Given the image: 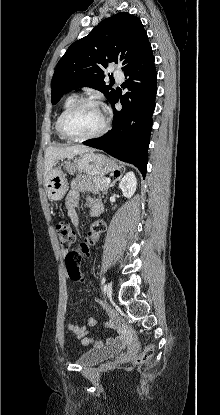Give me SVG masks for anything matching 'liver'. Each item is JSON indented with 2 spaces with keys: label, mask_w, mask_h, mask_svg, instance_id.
<instances>
[{
  "label": "liver",
  "mask_w": 220,
  "mask_h": 415,
  "mask_svg": "<svg viewBox=\"0 0 220 415\" xmlns=\"http://www.w3.org/2000/svg\"><path fill=\"white\" fill-rule=\"evenodd\" d=\"M94 151L92 148L84 146V145H75L69 147H56L50 146L46 149L45 152V168H44V179L46 181V177L48 173L52 170L55 162L58 159L70 158L78 154H83L86 152Z\"/></svg>",
  "instance_id": "1"
}]
</instances>
